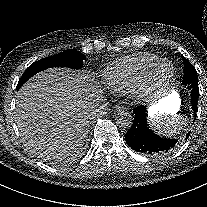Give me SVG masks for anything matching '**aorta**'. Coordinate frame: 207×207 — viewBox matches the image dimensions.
Returning <instances> with one entry per match:
<instances>
[{"mask_svg":"<svg viewBox=\"0 0 207 207\" xmlns=\"http://www.w3.org/2000/svg\"><path fill=\"white\" fill-rule=\"evenodd\" d=\"M115 121L118 127L128 129L133 123L131 114L127 111H119L115 116Z\"/></svg>","mask_w":207,"mask_h":207,"instance_id":"aorta-1","label":"aorta"}]
</instances>
